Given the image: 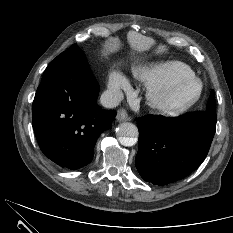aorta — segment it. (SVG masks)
I'll return each instance as SVG.
<instances>
[{
    "label": "aorta",
    "instance_id": "aorta-1",
    "mask_svg": "<svg viewBox=\"0 0 233 233\" xmlns=\"http://www.w3.org/2000/svg\"><path fill=\"white\" fill-rule=\"evenodd\" d=\"M119 142L124 146H133L138 137V128L130 122H123L117 127Z\"/></svg>",
    "mask_w": 233,
    "mask_h": 233
}]
</instances>
